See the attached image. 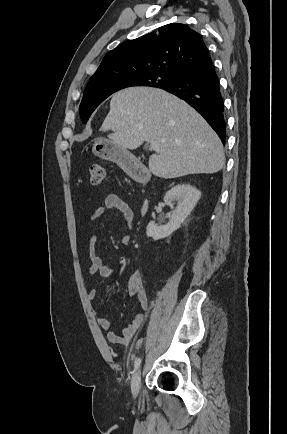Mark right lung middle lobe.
Listing matches in <instances>:
<instances>
[{"mask_svg": "<svg viewBox=\"0 0 287 434\" xmlns=\"http://www.w3.org/2000/svg\"><path fill=\"white\" fill-rule=\"evenodd\" d=\"M178 75L147 73L134 77L117 76L88 82L80 104V116L87 122L93 111L111 94L132 86H152L166 88L173 85Z\"/></svg>", "mask_w": 287, "mask_h": 434, "instance_id": "right-lung-middle-lobe-1", "label": "right lung middle lobe"}]
</instances>
